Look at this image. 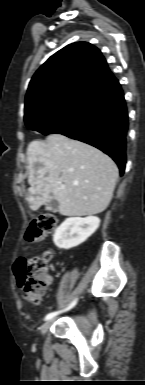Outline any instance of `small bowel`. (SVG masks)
Segmentation results:
<instances>
[{"instance_id":"small-bowel-1","label":"small bowel","mask_w":145,"mask_h":385,"mask_svg":"<svg viewBox=\"0 0 145 385\" xmlns=\"http://www.w3.org/2000/svg\"><path fill=\"white\" fill-rule=\"evenodd\" d=\"M52 281V278L50 277V282Z\"/></svg>"}]
</instances>
